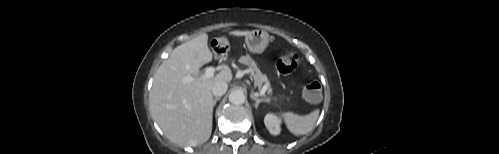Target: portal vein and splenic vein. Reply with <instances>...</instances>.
I'll return each mask as SVG.
<instances>
[{
  "mask_svg": "<svg viewBox=\"0 0 499 154\" xmlns=\"http://www.w3.org/2000/svg\"><path fill=\"white\" fill-rule=\"evenodd\" d=\"M216 70L217 69H215L213 67H207L205 69L204 78H212L214 76ZM185 81H192V78L187 77V78H185ZM265 91H266V86L263 87V89L260 91L259 94L263 96L265 94Z\"/></svg>",
  "mask_w": 499,
  "mask_h": 154,
  "instance_id": "18ae733b",
  "label": "portal vein and splenic vein"
}]
</instances>
